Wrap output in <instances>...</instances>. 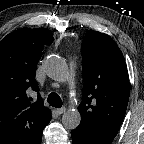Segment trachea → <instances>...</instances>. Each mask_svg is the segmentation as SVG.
I'll return each instance as SVG.
<instances>
[{
	"label": "trachea",
	"instance_id": "3493384b",
	"mask_svg": "<svg viewBox=\"0 0 144 144\" xmlns=\"http://www.w3.org/2000/svg\"><path fill=\"white\" fill-rule=\"evenodd\" d=\"M47 102L50 106L60 108L62 106V100L57 93H50Z\"/></svg>",
	"mask_w": 144,
	"mask_h": 144
}]
</instances>
